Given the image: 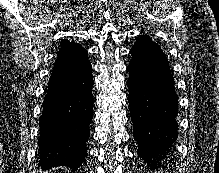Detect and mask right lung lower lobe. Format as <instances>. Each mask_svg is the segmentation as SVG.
<instances>
[{
    "instance_id": "obj_1",
    "label": "right lung lower lobe",
    "mask_w": 219,
    "mask_h": 173,
    "mask_svg": "<svg viewBox=\"0 0 219 173\" xmlns=\"http://www.w3.org/2000/svg\"><path fill=\"white\" fill-rule=\"evenodd\" d=\"M92 66L87 52L71 60L57 58L49 80L38 140L39 166H81L93 118Z\"/></svg>"
}]
</instances>
